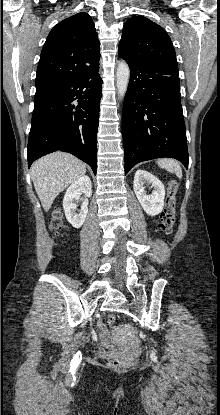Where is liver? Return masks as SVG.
Listing matches in <instances>:
<instances>
[{
  "mask_svg": "<svg viewBox=\"0 0 220 415\" xmlns=\"http://www.w3.org/2000/svg\"><path fill=\"white\" fill-rule=\"evenodd\" d=\"M85 173L86 165L68 153L56 152L35 161L31 178L43 209L47 212L58 194Z\"/></svg>",
  "mask_w": 220,
  "mask_h": 415,
  "instance_id": "1",
  "label": "liver"
}]
</instances>
